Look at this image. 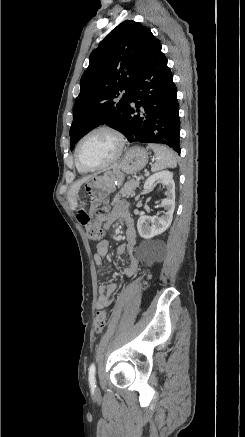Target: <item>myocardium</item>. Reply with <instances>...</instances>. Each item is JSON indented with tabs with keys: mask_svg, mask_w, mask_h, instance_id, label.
<instances>
[{
	"mask_svg": "<svg viewBox=\"0 0 245 437\" xmlns=\"http://www.w3.org/2000/svg\"><path fill=\"white\" fill-rule=\"evenodd\" d=\"M97 132H108L110 134H112L116 140H117V150L115 152V154L113 155V157L111 159H109L108 161H106L105 163L102 164H98V165H89L84 163L81 160L80 157V147L81 144L83 143V141L89 137L90 135L97 133ZM126 147V138L124 136V134L117 128L110 126V125H99L96 127H93L91 129H89L87 132H85L80 139L78 140L76 147H75V159L76 162L83 168L87 169V170H99V169H104L107 168L111 165H113L115 162H117L120 157L122 156L124 150Z\"/></svg>",
	"mask_w": 245,
	"mask_h": 437,
	"instance_id": "1",
	"label": "myocardium"
}]
</instances>
